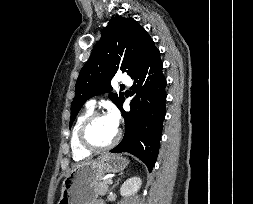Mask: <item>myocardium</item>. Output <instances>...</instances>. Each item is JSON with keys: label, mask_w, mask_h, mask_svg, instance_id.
<instances>
[{"label": "myocardium", "mask_w": 253, "mask_h": 204, "mask_svg": "<svg viewBox=\"0 0 253 204\" xmlns=\"http://www.w3.org/2000/svg\"><path fill=\"white\" fill-rule=\"evenodd\" d=\"M104 116L106 115L103 112H93L83 122L79 131V141L83 148L91 152L106 151L113 148L119 142L121 138L120 129H117V133L115 137L108 144L103 145V146L96 145L89 139L88 131L90 127L98 118H101Z\"/></svg>", "instance_id": "f54148a6"}]
</instances>
